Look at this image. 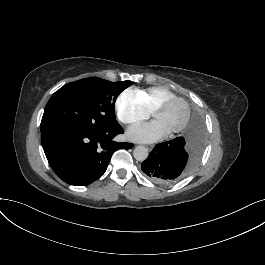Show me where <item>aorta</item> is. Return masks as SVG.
Wrapping results in <instances>:
<instances>
[{
	"label": "aorta",
	"mask_w": 265,
	"mask_h": 265,
	"mask_svg": "<svg viewBox=\"0 0 265 265\" xmlns=\"http://www.w3.org/2000/svg\"><path fill=\"white\" fill-rule=\"evenodd\" d=\"M134 158L138 161H144L148 158V149L144 146H137L133 151Z\"/></svg>",
	"instance_id": "1"
}]
</instances>
